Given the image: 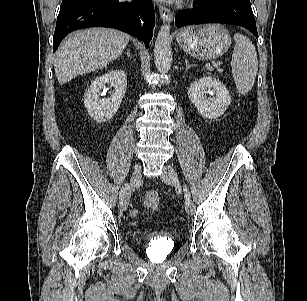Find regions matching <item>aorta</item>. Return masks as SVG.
I'll list each match as a JSON object with an SVG mask.
<instances>
[{"instance_id": "obj_1", "label": "aorta", "mask_w": 307, "mask_h": 301, "mask_svg": "<svg viewBox=\"0 0 307 301\" xmlns=\"http://www.w3.org/2000/svg\"><path fill=\"white\" fill-rule=\"evenodd\" d=\"M154 60L158 71L165 74L170 70L172 63L170 25L161 26L154 46Z\"/></svg>"}]
</instances>
